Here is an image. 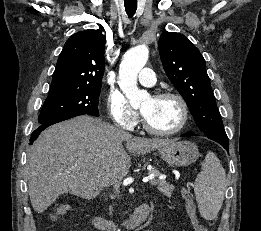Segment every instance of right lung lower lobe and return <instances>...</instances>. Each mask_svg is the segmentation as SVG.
Segmentation results:
<instances>
[{
    "instance_id": "98d812e1",
    "label": "right lung lower lobe",
    "mask_w": 261,
    "mask_h": 231,
    "mask_svg": "<svg viewBox=\"0 0 261 231\" xmlns=\"http://www.w3.org/2000/svg\"><path fill=\"white\" fill-rule=\"evenodd\" d=\"M77 115H74V116H69V117H65V118H61V119H57V120H54V121H51V122H48V123H45V124H41V126H39L31 135V138H30V145L33 144L34 140L37 139L38 135L40 134L41 131H43L45 128H47L48 126L50 125H53L55 123H58V122H61L63 120H67L69 118H72V117H75Z\"/></svg>"
}]
</instances>
